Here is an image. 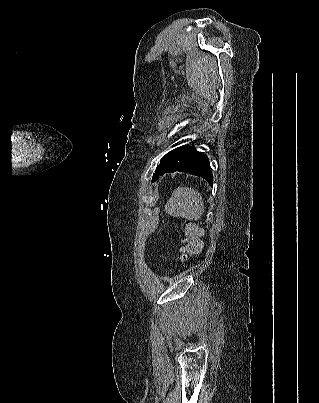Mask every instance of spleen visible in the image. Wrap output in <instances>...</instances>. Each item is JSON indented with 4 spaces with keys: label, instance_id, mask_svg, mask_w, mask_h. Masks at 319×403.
Instances as JSON below:
<instances>
[{
    "label": "spleen",
    "instance_id": "obj_1",
    "mask_svg": "<svg viewBox=\"0 0 319 403\" xmlns=\"http://www.w3.org/2000/svg\"><path fill=\"white\" fill-rule=\"evenodd\" d=\"M165 210L171 216L199 220L204 212L203 198L193 188L178 187L167 201Z\"/></svg>",
    "mask_w": 319,
    "mask_h": 403
}]
</instances>
